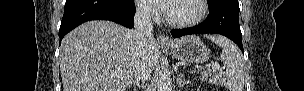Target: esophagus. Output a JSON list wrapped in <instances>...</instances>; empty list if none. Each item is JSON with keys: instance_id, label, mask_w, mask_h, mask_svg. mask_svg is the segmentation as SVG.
Here are the masks:
<instances>
[{"instance_id": "34e87169", "label": "esophagus", "mask_w": 304, "mask_h": 91, "mask_svg": "<svg viewBox=\"0 0 304 91\" xmlns=\"http://www.w3.org/2000/svg\"><path fill=\"white\" fill-rule=\"evenodd\" d=\"M157 42L159 45L168 46L171 44L169 37L165 34H159L157 37Z\"/></svg>"}]
</instances>
